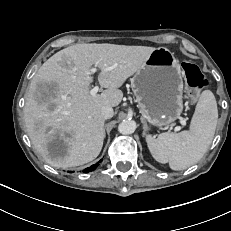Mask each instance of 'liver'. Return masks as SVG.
<instances>
[{
    "mask_svg": "<svg viewBox=\"0 0 231 231\" xmlns=\"http://www.w3.org/2000/svg\"><path fill=\"white\" fill-rule=\"evenodd\" d=\"M147 46L75 44L51 56L33 77L27 93L24 119L28 135L46 163L56 168L83 165L100 153L104 133L101 109L120 104L119 88L156 50ZM101 72L106 88L91 95V67ZM111 67L110 71H103ZM42 99L37 100V96ZM61 142L57 151L52 144Z\"/></svg>",
    "mask_w": 231,
    "mask_h": 231,
    "instance_id": "liver-1",
    "label": "liver"
}]
</instances>
